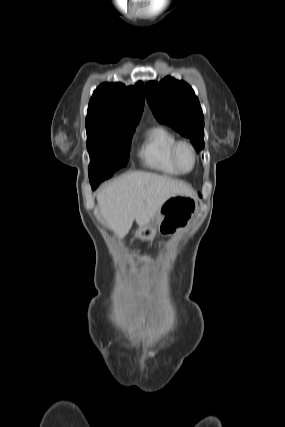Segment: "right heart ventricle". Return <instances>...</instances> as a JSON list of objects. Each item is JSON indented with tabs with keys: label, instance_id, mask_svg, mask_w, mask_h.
I'll return each instance as SVG.
<instances>
[{
	"label": "right heart ventricle",
	"instance_id": "right-heart-ventricle-1",
	"mask_svg": "<svg viewBox=\"0 0 285 427\" xmlns=\"http://www.w3.org/2000/svg\"><path fill=\"white\" fill-rule=\"evenodd\" d=\"M177 140V136L167 127L158 125L148 129L138 151L143 165L165 175L181 174L170 159L171 148Z\"/></svg>",
	"mask_w": 285,
	"mask_h": 427
}]
</instances>
